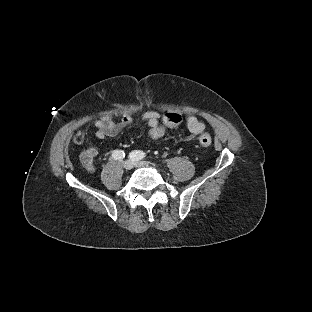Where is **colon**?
Returning a JSON list of instances; mask_svg holds the SVG:
<instances>
[{
	"instance_id": "obj_1",
	"label": "colon",
	"mask_w": 312,
	"mask_h": 312,
	"mask_svg": "<svg viewBox=\"0 0 312 312\" xmlns=\"http://www.w3.org/2000/svg\"><path fill=\"white\" fill-rule=\"evenodd\" d=\"M164 122L167 126L169 127H174L178 124L179 122V117L176 113L174 112H169L165 115L164 117ZM165 133V130L164 128L162 127H158V128H155L151 131L150 133V136L152 139L154 140H157L159 139L160 137H162ZM199 142L200 144L203 146V147H210L212 145V139L209 135L207 134H203L200 136V139H199Z\"/></svg>"
}]
</instances>
